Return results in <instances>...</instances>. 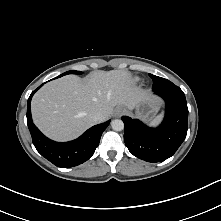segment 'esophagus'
Listing matches in <instances>:
<instances>
[{"mask_svg":"<svg viewBox=\"0 0 221 221\" xmlns=\"http://www.w3.org/2000/svg\"><path fill=\"white\" fill-rule=\"evenodd\" d=\"M123 112L124 111L121 108H118V109L115 110V116L119 117V116H121L123 114Z\"/></svg>","mask_w":221,"mask_h":221,"instance_id":"esophagus-1","label":"esophagus"}]
</instances>
